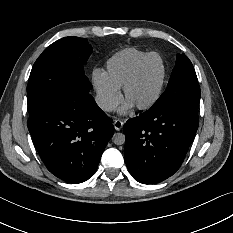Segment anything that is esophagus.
I'll return each mask as SVG.
<instances>
[{
  "label": "esophagus",
  "mask_w": 233,
  "mask_h": 233,
  "mask_svg": "<svg viewBox=\"0 0 233 233\" xmlns=\"http://www.w3.org/2000/svg\"><path fill=\"white\" fill-rule=\"evenodd\" d=\"M113 125L117 131H120L121 128L123 127V122L121 120L117 119L114 121Z\"/></svg>",
  "instance_id": "1"
}]
</instances>
